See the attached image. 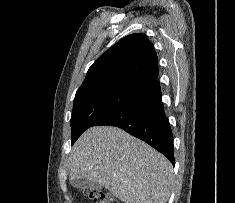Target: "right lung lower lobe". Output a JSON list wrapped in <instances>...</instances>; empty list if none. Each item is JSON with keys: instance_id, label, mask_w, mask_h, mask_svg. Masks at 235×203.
<instances>
[{"instance_id": "1", "label": "right lung lower lobe", "mask_w": 235, "mask_h": 203, "mask_svg": "<svg viewBox=\"0 0 235 203\" xmlns=\"http://www.w3.org/2000/svg\"><path fill=\"white\" fill-rule=\"evenodd\" d=\"M99 125L125 130L161 152L174 165L173 135L164 112L159 82L94 124Z\"/></svg>"}]
</instances>
